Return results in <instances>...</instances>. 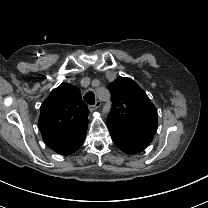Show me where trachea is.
Instances as JSON below:
<instances>
[{
	"label": "trachea",
	"instance_id": "obj_1",
	"mask_svg": "<svg viewBox=\"0 0 208 208\" xmlns=\"http://www.w3.org/2000/svg\"><path fill=\"white\" fill-rule=\"evenodd\" d=\"M84 101L90 105H94L95 104V95L93 92H87L84 97H83Z\"/></svg>",
	"mask_w": 208,
	"mask_h": 208
}]
</instances>
